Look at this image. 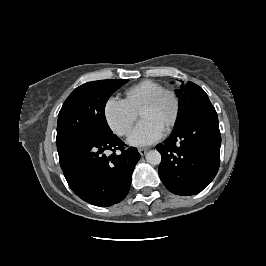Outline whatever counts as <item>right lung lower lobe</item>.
I'll return each mask as SVG.
<instances>
[{"mask_svg":"<svg viewBox=\"0 0 266 266\" xmlns=\"http://www.w3.org/2000/svg\"><path fill=\"white\" fill-rule=\"evenodd\" d=\"M124 145L111 132L74 144L60 153V166L72 191L96 206L107 207L122 201L140 159L136 148L124 149ZM106 150L114 153L107 157ZM116 150L121 153L116 154Z\"/></svg>","mask_w":266,"mask_h":266,"instance_id":"1","label":"right lung lower lobe"}]
</instances>
